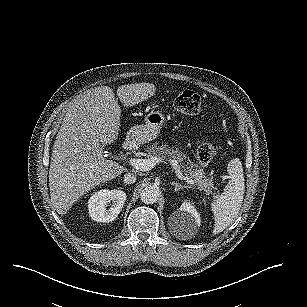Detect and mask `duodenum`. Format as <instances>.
<instances>
[{
    "instance_id": "1",
    "label": "duodenum",
    "mask_w": 307,
    "mask_h": 307,
    "mask_svg": "<svg viewBox=\"0 0 307 307\" xmlns=\"http://www.w3.org/2000/svg\"><path fill=\"white\" fill-rule=\"evenodd\" d=\"M125 148H126L127 150H130V149L132 148V144H131L130 142H128V143L126 144Z\"/></svg>"
}]
</instances>
